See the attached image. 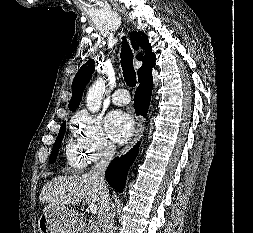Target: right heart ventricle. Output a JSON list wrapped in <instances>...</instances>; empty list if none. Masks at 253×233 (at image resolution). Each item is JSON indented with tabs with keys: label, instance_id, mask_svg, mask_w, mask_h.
I'll return each instance as SVG.
<instances>
[{
	"label": "right heart ventricle",
	"instance_id": "1",
	"mask_svg": "<svg viewBox=\"0 0 253 233\" xmlns=\"http://www.w3.org/2000/svg\"><path fill=\"white\" fill-rule=\"evenodd\" d=\"M67 165L73 170H81L87 164V158L77 139L70 138L65 147Z\"/></svg>",
	"mask_w": 253,
	"mask_h": 233
}]
</instances>
